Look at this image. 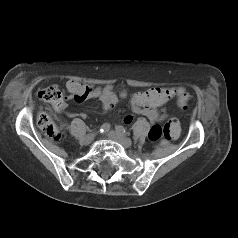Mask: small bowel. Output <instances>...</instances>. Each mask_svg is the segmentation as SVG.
<instances>
[{
    "label": "small bowel",
    "instance_id": "obj_1",
    "mask_svg": "<svg viewBox=\"0 0 238 238\" xmlns=\"http://www.w3.org/2000/svg\"><path fill=\"white\" fill-rule=\"evenodd\" d=\"M67 89L70 92V98L76 102H83L87 99H98L101 101L105 112L111 110L117 103L118 98L127 97L126 90L115 92L113 86L108 85L103 88L93 85H85L80 82L70 80L67 83ZM174 96L173 88H151L145 92H135L130 94V107L133 113L142 114L147 117L151 123L163 121L166 113L163 109H159L170 98ZM67 105L64 102L60 107L55 108L56 111H64ZM69 117H75L77 114L68 112ZM85 117L84 114H80ZM134 120L132 114L124 117L125 123H131Z\"/></svg>",
    "mask_w": 238,
    "mask_h": 238
}]
</instances>
